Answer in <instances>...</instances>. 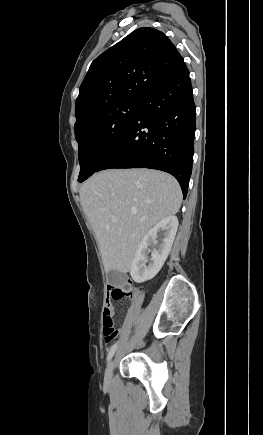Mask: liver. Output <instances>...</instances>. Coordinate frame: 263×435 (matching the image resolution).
<instances>
[{"label": "liver", "mask_w": 263, "mask_h": 435, "mask_svg": "<svg viewBox=\"0 0 263 435\" xmlns=\"http://www.w3.org/2000/svg\"><path fill=\"white\" fill-rule=\"evenodd\" d=\"M80 200L106 272L127 273L145 234L179 211L182 192L177 180L165 172L109 169L86 180Z\"/></svg>", "instance_id": "obj_1"}]
</instances>
